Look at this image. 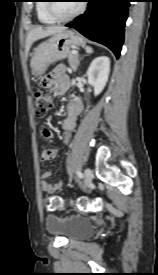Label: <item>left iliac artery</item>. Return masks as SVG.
<instances>
[{"label": "left iliac artery", "mask_w": 158, "mask_h": 275, "mask_svg": "<svg viewBox=\"0 0 158 275\" xmlns=\"http://www.w3.org/2000/svg\"><path fill=\"white\" fill-rule=\"evenodd\" d=\"M76 174L79 178H83V174L80 171H77Z\"/></svg>", "instance_id": "left-iliac-artery-1"}]
</instances>
